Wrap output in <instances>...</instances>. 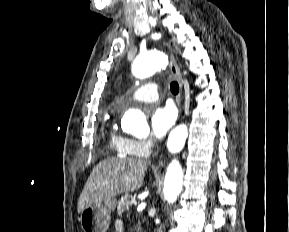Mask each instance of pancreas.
<instances>
[{"mask_svg":"<svg viewBox=\"0 0 289 232\" xmlns=\"http://www.w3.org/2000/svg\"><path fill=\"white\" fill-rule=\"evenodd\" d=\"M133 199L132 195H124L121 197V199L117 202V213L121 215L125 210L129 209V206L131 205V200Z\"/></svg>","mask_w":289,"mask_h":232,"instance_id":"1","label":"pancreas"}]
</instances>
